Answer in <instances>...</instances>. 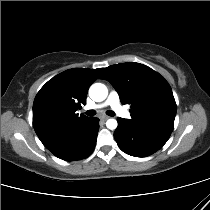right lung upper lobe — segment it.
I'll return each mask as SVG.
<instances>
[{"label": "right lung upper lobe", "mask_w": 210, "mask_h": 210, "mask_svg": "<svg viewBox=\"0 0 210 210\" xmlns=\"http://www.w3.org/2000/svg\"><path fill=\"white\" fill-rule=\"evenodd\" d=\"M102 68L66 70L49 80L37 93L33 103V127L44 146L90 117L76 114L85 104L90 85Z\"/></svg>", "instance_id": "1"}]
</instances>
